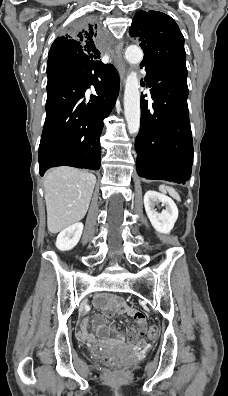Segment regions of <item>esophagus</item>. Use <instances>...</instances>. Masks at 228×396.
Wrapping results in <instances>:
<instances>
[{
    "mask_svg": "<svg viewBox=\"0 0 228 396\" xmlns=\"http://www.w3.org/2000/svg\"><path fill=\"white\" fill-rule=\"evenodd\" d=\"M123 44H124L123 42H120L116 47V54H117L116 66L122 80L124 79L125 76V65L121 57L123 51Z\"/></svg>",
    "mask_w": 228,
    "mask_h": 396,
    "instance_id": "34e87169",
    "label": "esophagus"
}]
</instances>
